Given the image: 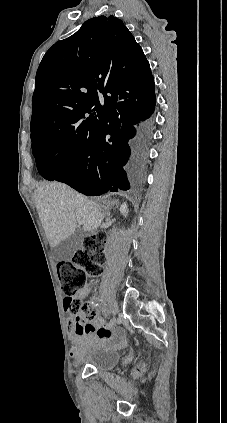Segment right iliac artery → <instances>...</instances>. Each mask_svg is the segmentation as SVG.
<instances>
[{"label": "right iliac artery", "mask_w": 227, "mask_h": 423, "mask_svg": "<svg viewBox=\"0 0 227 423\" xmlns=\"http://www.w3.org/2000/svg\"><path fill=\"white\" fill-rule=\"evenodd\" d=\"M111 316L112 317L110 318V322L108 323L107 328H111L113 326V324H116L117 323V318L114 317L113 314Z\"/></svg>", "instance_id": "1"}]
</instances>
